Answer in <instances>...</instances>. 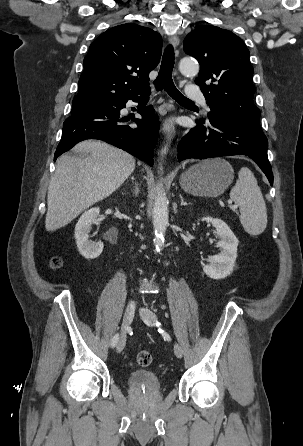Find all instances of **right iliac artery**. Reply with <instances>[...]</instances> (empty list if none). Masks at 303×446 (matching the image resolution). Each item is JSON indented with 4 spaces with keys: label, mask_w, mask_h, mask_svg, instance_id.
<instances>
[{
    "label": "right iliac artery",
    "mask_w": 303,
    "mask_h": 446,
    "mask_svg": "<svg viewBox=\"0 0 303 446\" xmlns=\"http://www.w3.org/2000/svg\"><path fill=\"white\" fill-rule=\"evenodd\" d=\"M118 339H119V334L117 333V334L114 335V337L111 340V347H115L116 346V344L118 342Z\"/></svg>",
    "instance_id": "1"
}]
</instances>
